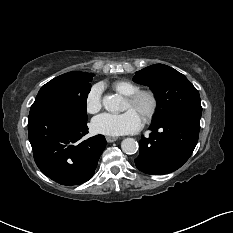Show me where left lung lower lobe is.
I'll list each match as a JSON object with an SVG mask.
<instances>
[{"instance_id": "obj_1", "label": "left lung lower lobe", "mask_w": 233, "mask_h": 233, "mask_svg": "<svg viewBox=\"0 0 233 233\" xmlns=\"http://www.w3.org/2000/svg\"><path fill=\"white\" fill-rule=\"evenodd\" d=\"M201 112L182 111L154 120L149 138L142 137L136 167L160 175L180 168L191 156L199 136Z\"/></svg>"}]
</instances>
